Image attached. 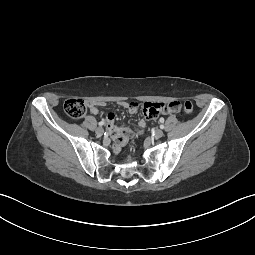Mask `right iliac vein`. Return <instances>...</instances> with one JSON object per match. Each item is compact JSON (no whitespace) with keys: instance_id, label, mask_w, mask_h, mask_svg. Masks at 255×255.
<instances>
[{"instance_id":"63e3f726","label":"right iliac vein","mask_w":255,"mask_h":255,"mask_svg":"<svg viewBox=\"0 0 255 255\" xmlns=\"http://www.w3.org/2000/svg\"><path fill=\"white\" fill-rule=\"evenodd\" d=\"M103 133H104V129L102 127H98L96 129V134L97 135L101 136V135H103Z\"/></svg>"}]
</instances>
